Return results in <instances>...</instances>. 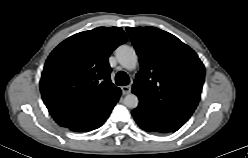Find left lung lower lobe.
<instances>
[{"mask_svg": "<svg viewBox=\"0 0 248 158\" xmlns=\"http://www.w3.org/2000/svg\"><path fill=\"white\" fill-rule=\"evenodd\" d=\"M132 115L137 124L145 131L160 133L174 132V130L170 129L161 120L139 107L132 111Z\"/></svg>", "mask_w": 248, "mask_h": 158, "instance_id": "1", "label": "left lung lower lobe"}]
</instances>
